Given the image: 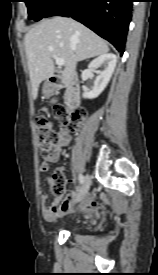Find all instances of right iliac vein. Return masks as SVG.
<instances>
[{"label":"right iliac vein","mask_w":158,"mask_h":275,"mask_svg":"<svg viewBox=\"0 0 158 275\" xmlns=\"http://www.w3.org/2000/svg\"><path fill=\"white\" fill-rule=\"evenodd\" d=\"M89 187H90V178H89L88 175H86L85 178H84V182H83L81 191H80L79 196H78L79 199L83 198L87 194V192L89 190Z\"/></svg>","instance_id":"63e3f726"}]
</instances>
